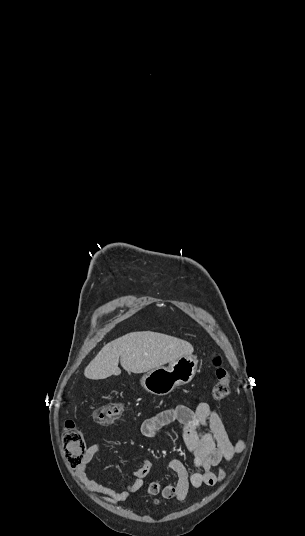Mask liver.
Listing matches in <instances>:
<instances>
[{"mask_svg": "<svg viewBox=\"0 0 305 536\" xmlns=\"http://www.w3.org/2000/svg\"><path fill=\"white\" fill-rule=\"evenodd\" d=\"M193 346L185 340L157 334V332H131L106 344L84 370L89 380H105L119 376V358L123 370L144 374L175 362L181 356H191Z\"/></svg>", "mask_w": 305, "mask_h": 536, "instance_id": "1", "label": "liver"}]
</instances>
